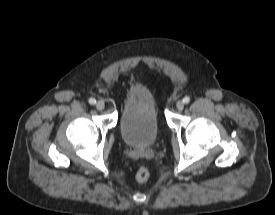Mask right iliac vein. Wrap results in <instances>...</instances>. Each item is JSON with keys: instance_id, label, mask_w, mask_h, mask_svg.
Segmentation results:
<instances>
[{"instance_id": "obj_1", "label": "right iliac vein", "mask_w": 275, "mask_h": 215, "mask_svg": "<svg viewBox=\"0 0 275 215\" xmlns=\"http://www.w3.org/2000/svg\"><path fill=\"white\" fill-rule=\"evenodd\" d=\"M104 107H105V105H104V103H103L102 101H98V102L96 103V108H97L98 110H103Z\"/></svg>"}]
</instances>
